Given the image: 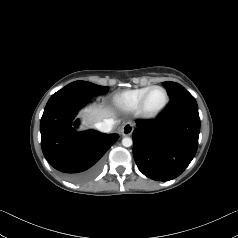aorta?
Segmentation results:
<instances>
[{"label":"aorta","instance_id":"762f6f07","mask_svg":"<svg viewBox=\"0 0 238 238\" xmlns=\"http://www.w3.org/2000/svg\"><path fill=\"white\" fill-rule=\"evenodd\" d=\"M132 144H133V141L129 137H125V138L122 139V145L124 147H130Z\"/></svg>","mask_w":238,"mask_h":238}]
</instances>
